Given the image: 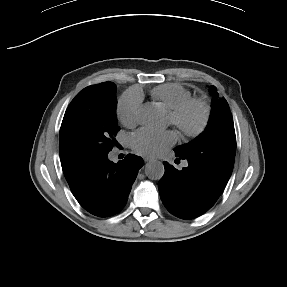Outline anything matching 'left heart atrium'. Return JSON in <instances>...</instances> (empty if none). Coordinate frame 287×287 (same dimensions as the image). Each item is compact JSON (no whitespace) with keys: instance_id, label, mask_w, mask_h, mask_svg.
I'll list each match as a JSON object with an SVG mask.
<instances>
[{"instance_id":"obj_1","label":"left heart atrium","mask_w":287,"mask_h":287,"mask_svg":"<svg viewBox=\"0 0 287 287\" xmlns=\"http://www.w3.org/2000/svg\"><path fill=\"white\" fill-rule=\"evenodd\" d=\"M176 140L177 135L173 131L141 130L132 137V146L139 154L156 157L163 154Z\"/></svg>"}]
</instances>
